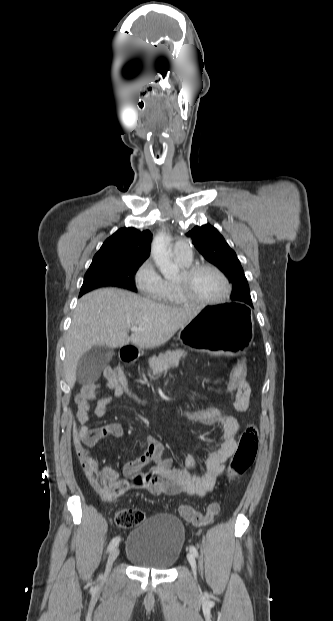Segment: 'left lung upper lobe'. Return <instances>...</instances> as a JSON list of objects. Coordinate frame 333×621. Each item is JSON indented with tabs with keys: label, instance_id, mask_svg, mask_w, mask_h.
<instances>
[{
	"label": "left lung upper lobe",
	"instance_id": "5c2ea615",
	"mask_svg": "<svg viewBox=\"0 0 333 621\" xmlns=\"http://www.w3.org/2000/svg\"><path fill=\"white\" fill-rule=\"evenodd\" d=\"M187 236L207 261L230 277L233 303L252 306L249 286L240 261L218 230L209 224L195 226Z\"/></svg>",
	"mask_w": 333,
	"mask_h": 621
}]
</instances>
